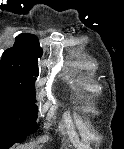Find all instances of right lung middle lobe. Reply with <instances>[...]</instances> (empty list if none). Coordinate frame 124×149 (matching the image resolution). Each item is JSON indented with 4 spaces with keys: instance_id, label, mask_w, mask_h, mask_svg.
I'll use <instances>...</instances> for the list:
<instances>
[{
    "instance_id": "dd1d6c3e",
    "label": "right lung middle lobe",
    "mask_w": 124,
    "mask_h": 149,
    "mask_svg": "<svg viewBox=\"0 0 124 149\" xmlns=\"http://www.w3.org/2000/svg\"><path fill=\"white\" fill-rule=\"evenodd\" d=\"M34 87L0 78V142L20 143L37 130Z\"/></svg>"
}]
</instances>
